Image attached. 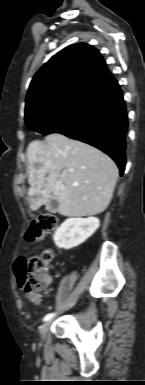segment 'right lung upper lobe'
<instances>
[{
    "label": "right lung upper lobe",
    "mask_w": 145,
    "mask_h": 385,
    "mask_svg": "<svg viewBox=\"0 0 145 385\" xmlns=\"http://www.w3.org/2000/svg\"><path fill=\"white\" fill-rule=\"evenodd\" d=\"M116 80L107 70L97 49L85 43L74 44L54 55L33 77L25 114L34 107L72 89L99 92Z\"/></svg>",
    "instance_id": "right-lung-upper-lobe-1"
}]
</instances>
